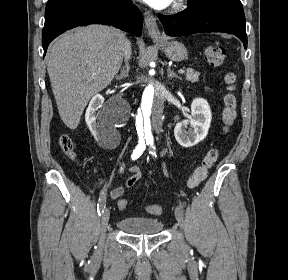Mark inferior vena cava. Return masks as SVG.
<instances>
[{
	"label": "inferior vena cava",
	"mask_w": 288,
	"mask_h": 280,
	"mask_svg": "<svg viewBox=\"0 0 288 280\" xmlns=\"http://www.w3.org/2000/svg\"><path fill=\"white\" fill-rule=\"evenodd\" d=\"M131 56V44L130 41L126 39L125 41V47H124V57L127 61L130 59ZM151 83H155L156 79L151 78ZM155 93L157 96H155V102H153V109H152V121L151 126H155V137H158V141H163V134L161 132V126H163V119H164V113H163V105L164 101L166 100V97H170V92L168 89H161L160 85L156 86Z\"/></svg>",
	"instance_id": "1"
}]
</instances>
